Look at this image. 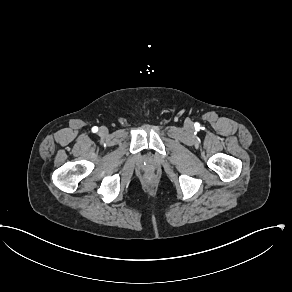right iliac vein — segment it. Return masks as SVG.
I'll use <instances>...</instances> for the list:
<instances>
[{
	"label": "right iliac vein",
	"instance_id": "63e3f726",
	"mask_svg": "<svg viewBox=\"0 0 292 292\" xmlns=\"http://www.w3.org/2000/svg\"><path fill=\"white\" fill-rule=\"evenodd\" d=\"M99 135L102 137H105L108 134V129L105 126L100 127L99 129Z\"/></svg>",
	"mask_w": 292,
	"mask_h": 292
}]
</instances>
